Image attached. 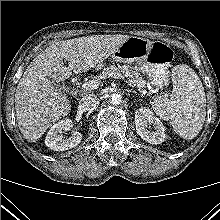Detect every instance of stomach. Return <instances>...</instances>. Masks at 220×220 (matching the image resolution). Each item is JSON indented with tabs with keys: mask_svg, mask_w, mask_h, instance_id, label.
<instances>
[{
	"mask_svg": "<svg viewBox=\"0 0 220 220\" xmlns=\"http://www.w3.org/2000/svg\"><path fill=\"white\" fill-rule=\"evenodd\" d=\"M174 57V52L168 44L135 36L129 37L112 54V58L116 62L135 63L148 76L150 82L157 87L168 85V68Z\"/></svg>",
	"mask_w": 220,
	"mask_h": 220,
	"instance_id": "obj_1",
	"label": "stomach"
}]
</instances>
